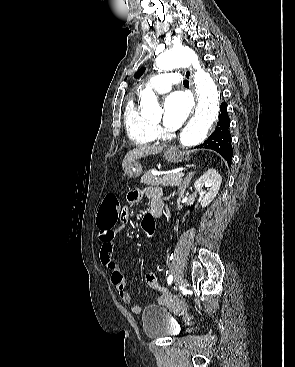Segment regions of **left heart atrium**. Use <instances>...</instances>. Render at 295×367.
I'll return each mask as SVG.
<instances>
[{
  "label": "left heart atrium",
  "instance_id": "39dd6f15",
  "mask_svg": "<svg viewBox=\"0 0 295 367\" xmlns=\"http://www.w3.org/2000/svg\"><path fill=\"white\" fill-rule=\"evenodd\" d=\"M191 110V100L184 92L168 95L164 102L163 125L168 130H175L186 120Z\"/></svg>",
  "mask_w": 295,
  "mask_h": 367
}]
</instances>
